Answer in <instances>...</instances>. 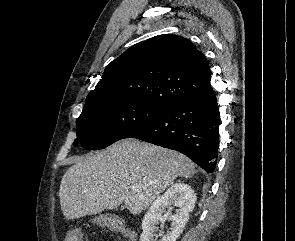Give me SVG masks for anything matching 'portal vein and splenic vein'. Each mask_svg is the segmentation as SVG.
Wrapping results in <instances>:
<instances>
[{"mask_svg": "<svg viewBox=\"0 0 295 241\" xmlns=\"http://www.w3.org/2000/svg\"><path fill=\"white\" fill-rule=\"evenodd\" d=\"M139 188H140V187H139L138 184H134V185L131 186V190H132V191H138Z\"/></svg>", "mask_w": 295, "mask_h": 241, "instance_id": "1", "label": "portal vein and splenic vein"}]
</instances>
